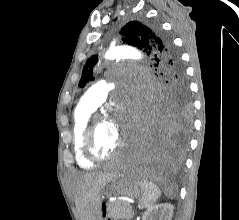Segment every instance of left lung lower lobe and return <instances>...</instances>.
<instances>
[{
  "instance_id": "1",
  "label": "left lung lower lobe",
  "mask_w": 239,
  "mask_h": 220,
  "mask_svg": "<svg viewBox=\"0 0 239 220\" xmlns=\"http://www.w3.org/2000/svg\"><path fill=\"white\" fill-rule=\"evenodd\" d=\"M187 129H181L165 108H157L147 122L145 137L132 164L141 172L161 173L178 166L187 144Z\"/></svg>"
}]
</instances>
